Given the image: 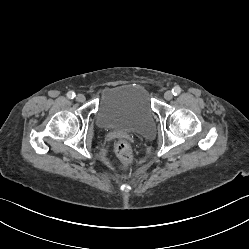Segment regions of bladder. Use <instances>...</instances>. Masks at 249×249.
<instances>
[{"label":"bladder","mask_w":249,"mask_h":249,"mask_svg":"<svg viewBox=\"0 0 249 249\" xmlns=\"http://www.w3.org/2000/svg\"><path fill=\"white\" fill-rule=\"evenodd\" d=\"M95 121L101 129L122 130L142 136H150L155 131V112L146 90L140 85L106 88L100 95Z\"/></svg>","instance_id":"bladder-1"}]
</instances>
